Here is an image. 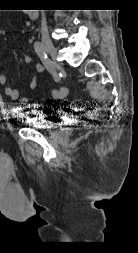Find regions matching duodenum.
<instances>
[{
    "label": "duodenum",
    "mask_w": 138,
    "mask_h": 253,
    "mask_svg": "<svg viewBox=\"0 0 138 253\" xmlns=\"http://www.w3.org/2000/svg\"><path fill=\"white\" fill-rule=\"evenodd\" d=\"M37 10L36 9H30V11H28V15L31 19H35L37 17Z\"/></svg>",
    "instance_id": "410a0bca"
}]
</instances>
